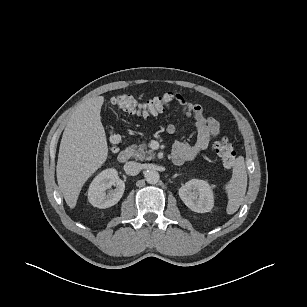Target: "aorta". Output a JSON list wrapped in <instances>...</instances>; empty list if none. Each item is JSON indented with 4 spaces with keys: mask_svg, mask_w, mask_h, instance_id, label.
<instances>
[{
    "mask_svg": "<svg viewBox=\"0 0 307 307\" xmlns=\"http://www.w3.org/2000/svg\"><path fill=\"white\" fill-rule=\"evenodd\" d=\"M144 175L149 184H156L160 179V175L156 170H147Z\"/></svg>",
    "mask_w": 307,
    "mask_h": 307,
    "instance_id": "obj_1",
    "label": "aorta"
}]
</instances>
